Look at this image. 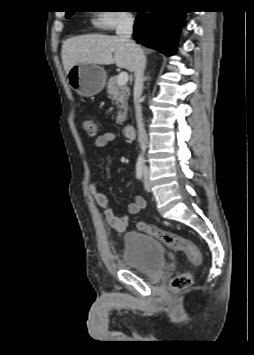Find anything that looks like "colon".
<instances>
[{"mask_svg":"<svg viewBox=\"0 0 254 355\" xmlns=\"http://www.w3.org/2000/svg\"><path fill=\"white\" fill-rule=\"evenodd\" d=\"M84 129L88 135H96L98 131L97 123L92 119H86L84 121ZM138 228L143 233L158 239L171 250L185 252L189 260L193 264L198 265L201 263L202 254L198 247L190 240L178 234L172 233L170 231L161 229L155 225L147 224L144 222L138 223ZM191 283L192 274L189 272L181 273L173 278L172 288L178 291L184 290L187 289L191 285Z\"/></svg>","mask_w":254,"mask_h":355,"instance_id":"1","label":"colon"}]
</instances>
